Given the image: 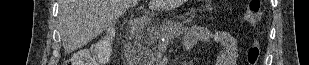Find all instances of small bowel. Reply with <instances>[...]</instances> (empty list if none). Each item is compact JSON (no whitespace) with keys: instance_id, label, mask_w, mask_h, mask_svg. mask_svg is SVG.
<instances>
[{"instance_id":"small-bowel-1","label":"small bowel","mask_w":309,"mask_h":65,"mask_svg":"<svg viewBox=\"0 0 309 65\" xmlns=\"http://www.w3.org/2000/svg\"><path fill=\"white\" fill-rule=\"evenodd\" d=\"M213 41L220 46L215 65H236L238 45L234 35L223 29L210 30L205 26H192L186 31L184 48L191 50L198 42Z\"/></svg>"}]
</instances>
